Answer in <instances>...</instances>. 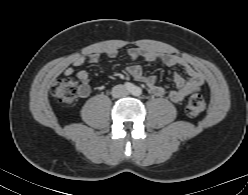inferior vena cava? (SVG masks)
<instances>
[{"label": "inferior vena cava", "mask_w": 248, "mask_h": 195, "mask_svg": "<svg viewBox=\"0 0 248 195\" xmlns=\"http://www.w3.org/2000/svg\"><path fill=\"white\" fill-rule=\"evenodd\" d=\"M128 95V91L127 89L122 86V85H116L115 87H113L112 89V96L114 98H121V97H125Z\"/></svg>", "instance_id": "obj_1"}]
</instances>
